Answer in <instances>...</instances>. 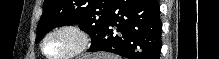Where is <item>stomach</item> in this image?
Instances as JSON below:
<instances>
[{
	"label": "stomach",
	"mask_w": 219,
	"mask_h": 59,
	"mask_svg": "<svg viewBox=\"0 0 219 59\" xmlns=\"http://www.w3.org/2000/svg\"><path fill=\"white\" fill-rule=\"evenodd\" d=\"M95 57H98L99 59H111L110 56L107 55H96Z\"/></svg>",
	"instance_id": "obj_1"
}]
</instances>
